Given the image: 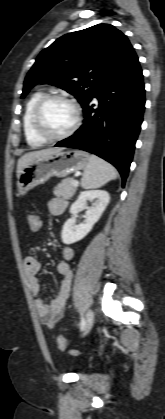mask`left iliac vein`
I'll use <instances>...</instances> for the list:
<instances>
[{
    "instance_id": "obj_1",
    "label": "left iliac vein",
    "mask_w": 165,
    "mask_h": 419,
    "mask_svg": "<svg viewBox=\"0 0 165 419\" xmlns=\"http://www.w3.org/2000/svg\"><path fill=\"white\" fill-rule=\"evenodd\" d=\"M94 323V313L93 311L90 309L87 311L86 314V321H85V326H84V335H86L92 328Z\"/></svg>"
}]
</instances>
